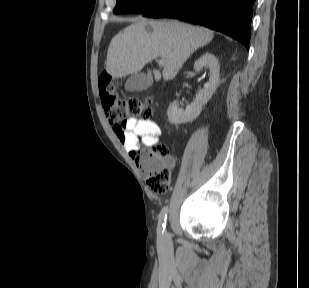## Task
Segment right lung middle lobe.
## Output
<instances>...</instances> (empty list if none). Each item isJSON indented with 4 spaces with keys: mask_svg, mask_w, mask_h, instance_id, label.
<instances>
[{
    "mask_svg": "<svg viewBox=\"0 0 309 288\" xmlns=\"http://www.w3.org/2000/svg\"><path fill=\"white\" fill-rule=\"evenodd\" d=\"M163 0H117V5L114 9L115 14L124 13H143Z\"/></svg>",
    "mask_w": 309,
    "mask_h": 288,
    "instance_id": "obj_1",
    "label": "right lung middle lobe"
}]
</instances>
